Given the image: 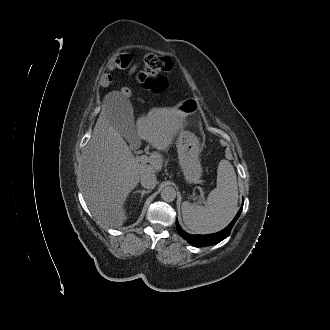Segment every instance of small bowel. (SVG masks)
Masks as SVG:
<instances>
[{
  "label": "small bowel",
  "instance_id": "c3829d8e",
  "mask_svg": "<svg viewBox=\"0 0 330 330\" xmlns=\"http://www.w3.org/2000/svg\"><path fill=\"white\" fill-rule=\"evenodd\" d=\"M138 68H139V65L138 64L132 65L129 68V70H128L129 75H133L137 71ZM103 82H104V84H108L109 83V81H106L105 79H103Z\"/></svg>",
  "mask_w": 330,
  "mask_h": 330
}]
</instances>
